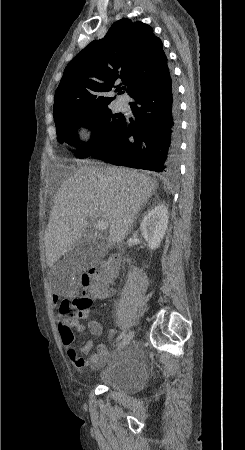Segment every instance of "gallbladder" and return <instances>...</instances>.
I'll list each match as a JSON object with an SVG mask.
<instances>
[{
    "label": "gallbladder",
    "mask_w": 245,
    "mask_h": 450,
    "mask_svg": "<svg viewBox=\"0 0 245 450\" xmlns=\"http://www.w3.org/2000/svg\"><path fill=\"white\" fill-rule=\"evenodd\" d=\"M108 253V246L84 235L66 254L63 263L74 271H81L90 264L102 259Z\"/></svg>",
    "instance_id": "obj_1"
}]
</instances>
